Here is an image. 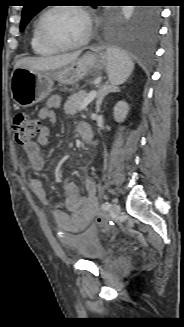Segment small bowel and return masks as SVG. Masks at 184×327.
<instances>
[{
  "mask_svg": "<svg viewBox=\"0 0 184 327\" xmlns=\"http://www.w3.org/2000/svg\"><path fill=\"white\" fill-rule=\"evenodd\" d=\"M60 104L61 100L58 96L49 98L46 105L39 110L38 118L41 120L48 119L51 123H54V108L60 106ZM81 125L77 126L79 134H81ZM50 135L51 128L43 126L37 138L24 147L31 168L35 172H40L44 167L41 149L48 145ZM91 137L92 134L89 128L88 139H91ZM83 184L87 192L86 197L80 196L75 184L66 181L63 185L66 211L57 208L52 210L56 224L63 231L71 233L83 231L91 219L95 217V213L98 212L95 182L92 179H85ZM31 190L41 203L48 204L50 202L49 194L40 181L33 179L31 181Z\"/></svg>",
  "mask_w": 184,
  "mask_h": 327,
  "instance_id": "obj_1",
  "label": "small bowel"
}]
</instances>
